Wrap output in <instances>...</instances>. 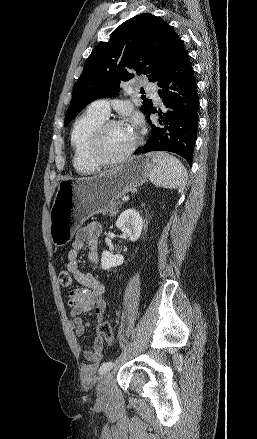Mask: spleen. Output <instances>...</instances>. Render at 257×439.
<instances>
[{"mask_svg":"<svg viewBox=\"0 0 257 439\" xmlns=\"http://www.w3.org/2000/svg\"><path fill=\"white\" fill-rule=\"evenodd\" d=\"M155 166L149 179L157 187L177 189L183 192L187 183V171L183 164L166 152L154 153Z\"/></svg>","mask_w":257,"mask_h":439,"instance_id":"obj_1","label":"spleen"}]
</instances>
